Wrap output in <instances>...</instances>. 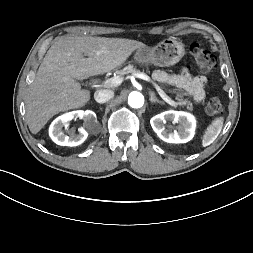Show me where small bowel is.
Returning <instances> with one entry per match:
<instances>
[{
  "instance_id": "c3829d8e",
  "label": "small bowel",
  "mask_w": 253,
  "mask_h": 253,
  "mask_svg": "<svg viewBox=\"0 0 253 253\" xmlns=\"http://www.w3.org/2000/svg\"><path fill=\"white\" fill-rule=\"evenodd\" d=\"M190 64L183 62L181 64V73L173 76L167 75L163 71H155L154 78L159 82L169 83L174 85L188 95H190L195 102H201L205 97L206 78L204 76H192L189 74Z\"/></svg>"
}]
</instances>
